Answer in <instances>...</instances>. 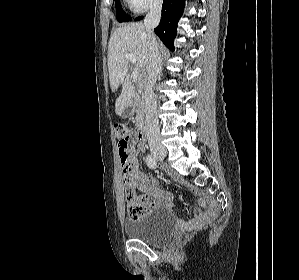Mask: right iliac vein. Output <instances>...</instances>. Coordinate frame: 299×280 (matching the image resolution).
Returning <instances> with one entry per match:
<instances>
[{"label":"right iliac vein","instance_id":"right-iliac-vein-1","mask_svg":"<svg viewBox=\"0 0 299 280\" xmlns=\"http://www.w3.org/2000/svg\"><path fill=\"white\" fill-rule=\"evenodd\" d=\"M153 154L157 158H164L167 155V152L164 148L154 149Z\"/></svg>","mask_w":299,"mask_h":280}]
</instances>
